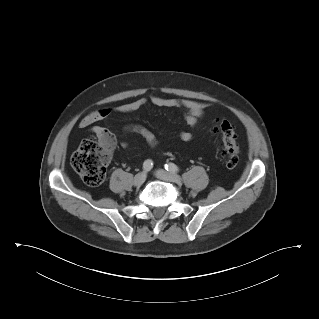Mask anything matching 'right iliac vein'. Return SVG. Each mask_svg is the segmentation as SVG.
Masks as SVG:
<instances>
[{"instance_id": "right-iliac-vein-1", "label": "right iliac vein", "mask_w": 319, "mask_h": 319, "mask_svg": "<svg viewBox=\"0 0 319 319\" xmlns=\"http://www.w3.org/2000/svg\"><path fill=\"white\" fill-rule=\"evenodd\" d=\"M146 180V173L145 172H140L135 175L133 179V184L135 186H141Z\"/></svg>"}]
</instances>
